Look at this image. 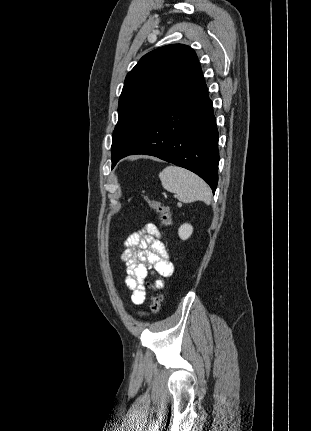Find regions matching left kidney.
<instances>
[{"instance_id": "left-kidney-1", "label": "left kidney", "mask_w": 311, "mask_h": 431, "mask_svg": "<svg viewBox=\"0 0 311 431\" xmlns=\"http://www.w3.org/2000/svg\"><path fill=\"white\" fill-rule=\"evenodd\" d=\"M193 231L192 225L190 223H182L178 229V235L181 239H188Z\"/></svg>"}]
</instances>
